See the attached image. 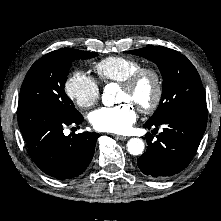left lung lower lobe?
Here are the masks:
<instances>
[{
    "label": "left lung lower lobe",
    "instance_id": "left-lung-lower-lobe-1",
    "mask_svg": "<svg viewBox=\"0 0 221 221\" xmlns=\"http://www.w3.org/2000/svg\"><path fill=\"white\" fill-rule=\"evenodd\" d=\"M206 124V105L181 109L154 124L145 123L144 128L160 125L165 128L154 142L153 136L146 134L147 151L137 161L140 170L156 179H164L182 171L194 157Z\"/></svg>",
    "mask_w": 221,
    "mask_h": 221
}]
</instances>
